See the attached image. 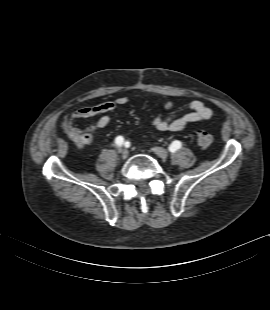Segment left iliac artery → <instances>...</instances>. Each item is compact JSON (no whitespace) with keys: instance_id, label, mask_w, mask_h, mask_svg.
<instances>
[{"instance_id":"obj_1","label":"left iliac artery","mask_w":270,"mask_h":310,"mask_svg":"<svg viewBox=\"0 0 270 310\" xmlns=\"http://www.w3.org/2000/svg\"><path fill=\"white\" fill-rule=\"evenodd\" d=\"M181 146H182L181 142L176 140V141L172 142V144H171L170 147H169V150H170L171 152H174V151H176L177 149H180Z\"/></svg>"}]
</instances>
